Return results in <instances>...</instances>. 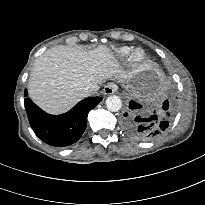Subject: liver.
I'll list each match as a JSON object with an SVG mask.
<instances>
[{"label":"liver","mask_w":205,"mask_h":205,"mask_svg":"<svg viewBox=\"0 0 205 205\" xmlns=\"http://www.w3.org/2000/svg\"><path fill=\"white\" fill-rule=\"evenodd\" d=\"M117 68L111 50L104 45L94 49L55 46L35 60L28 82L29 96L44 111L61 114L103 80L117 78Z\"/></svg>","instance_id":"1"}]
</instances>
